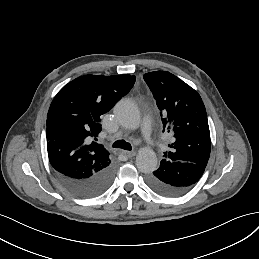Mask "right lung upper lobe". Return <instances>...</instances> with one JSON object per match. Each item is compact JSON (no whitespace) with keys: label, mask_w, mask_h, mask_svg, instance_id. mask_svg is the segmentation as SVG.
I'll list each match as a JSON object with an SVG mask.
<instances>
[{"label":"right lung upper lobe","mask_w":259,"mask_h":259,"mask_svg":"<svg viewBox=\"0 0 259 259\" xmlns=\"http://www.w3.org/2000/svg\"><path fill=\"white\" fill-rule=\"evenodd\" d=\"M134 75H84L64 86L47 115V151L54 170L86 179L109 166V152L93 139L101 132V117L126 95ZM97 140V139H96Z\"/></svg>","instance_id":"1"}]
</instances>
